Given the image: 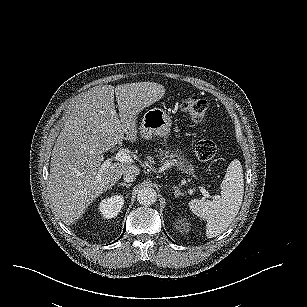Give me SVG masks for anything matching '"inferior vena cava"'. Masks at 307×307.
<instances>
[{
    "instance_id": "inferior-vena-cava-1",
    "label": "inferior vena cava",
    "mask_w": 307,
    "mask_h": 307,
    "mask_svg": "<svg viewBox=\"0 0 307 307\" xmlns=\"http://www.w3.org/2000/svg\"><path fill=\"white\" fill-rule=\"evenodd\" d=\"M123 179L125 182L130 183L136 180V175L130 171H127L124 173Z\"/></svg>"
}]
</instances>
